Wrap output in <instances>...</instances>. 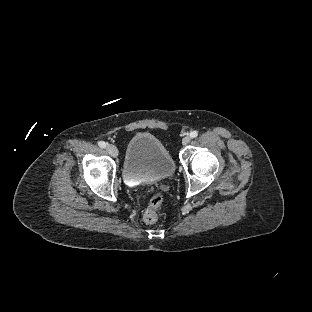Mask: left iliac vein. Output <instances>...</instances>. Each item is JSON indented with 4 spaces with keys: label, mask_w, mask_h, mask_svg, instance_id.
I'll return each mask as SVG.
<instances>
[{
    "label": "left iliac vein",
    "mask_w": 312,
    "mask_h": 312,
    "mask_svg": "<svg viewBox=\"0 0 312 312\" xmlns=\"http://www.w3.org/2000/svg\"><path fill=\"white\" fill-rule=\"evenodd\" d=\"M191 138L189 136H185L183 139H182V143L183 145H187L189 142H190Z\"/></svg>",
    "instance_id": "1"
}]
</instances>
